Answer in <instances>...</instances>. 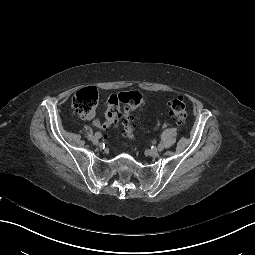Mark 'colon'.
<instances>
[{"instance_id":"1","label":"colon","mask_w":255,"mask_h":255,"mask_svg":"<svg viewBox=\"0 0 255 255\" xmlns=\"http://www.w3.org/2000/svg\"><path fill=\"white\" fill-rule=\"evenodd\" d=\"M98 103V93L95 88H83L72 98V108L83 118L94 115ZM143 103L142 95L137 91L120 92L112 94L107 100L104 127L113 125L122 116L124 133L131 137L133 134V112ZM121 104H124L121 112ZM170 114L179 124L187 118L186 105L181 97L170 101Z\"/></svg>"}]
</instances>
